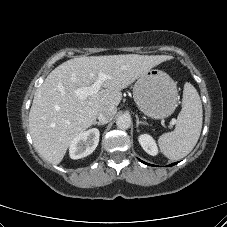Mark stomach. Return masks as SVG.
<instances>
[{
    "label": "stomach",
    "mask_w": 227,
    "mask_h": 227,
    "mask_svg": "<svg viewBox=\"0 0 227 227\" xmlns=\"http://www.w3.org/2000/svg\"><path fill=\"white\" fill-rule=\"evenodd\" d=\"M133 96L140 111L152 119L169 117L179 99L174 80L158 69H151L137 79Z\"/></svg>",
    "instance_id": "stomach-1"
}]
</instances>
